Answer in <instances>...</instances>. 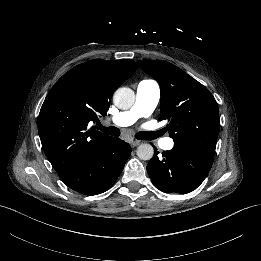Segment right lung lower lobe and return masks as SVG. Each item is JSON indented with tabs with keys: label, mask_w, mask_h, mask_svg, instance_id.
<instances>
[{
	"label": "right lung lower lobe",
	"mask_w": 261,
	"mask_h": 261,
	"mask_svg": "<svg viewBox=\"0 0 261 261\" xmlns=\"http://www.w3.org/2000/svg\"><path fill=\"white\" fill-rule=\"evenodd\" d=\"M130 153L128 143L111 137L96 155L67 172L62 180L71 189L85 195L103 193L115 183Z\"/></svg>",
	"instance_id": "right-lung-lower-lobe-1"
}]
</instances>
